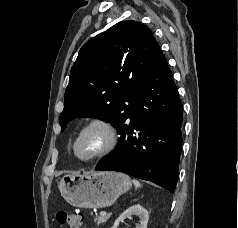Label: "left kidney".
<instances>
[{
  "mask_svg": "<svg viewBox=\"0 0 238 228\" xmlns=\"http://www.w3.org/2000/svg\"><path fill=\"white\" fill-rule=\"evenodd\" d=\"M138 216L140 223L136 228H147V223L149 219L148 211L142 207L140 204L133 205L126 209L114 222V225L111 228H118L119 224L123 222L126 218L131 216Z\"/></svg>",
  "mask_w": 238,
  "mask_h": 228,
  "instance_id": "obj_1",
  "label": "left kidney"
}]
</instances>
